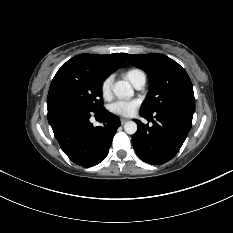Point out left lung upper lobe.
Returning a JSON list of instances; mask_svg holds the SVG:
<instances>
[{
  "label": "left lung upper lobe",
  "mask_w": 233,
  "mask_h": 233,
  "mask_svg": "<svg viewBox=\"0 0 233 233\" xmlns=\"http://www.w3.org/2000/svg\"><path fill=\"white\" fill-rule=\"evenodd\" d=\"M125 59L144 70L149 79L150 93L141 111L154 114L178 111L193 116L195 98L191 80L186 71L163 54H126Z\"/></svg>",
  "instance_id": "obj_1"
}]
</instances>
